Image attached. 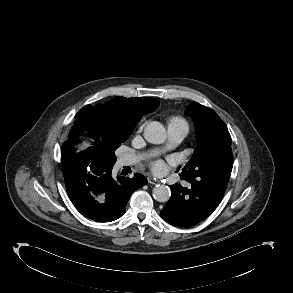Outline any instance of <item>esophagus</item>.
Returning a JSON list of instances; mask_svg holds the SVG:
<instances>
[{"mask_svg": "<svg viewBox=\"0 0 293 293\" xmlns=\"http://www.w3.org/2000/svg\"><path fill=\"white\" fill-rule=\"evenodd\" d=\"M148 183L153 184V185H157V184H160L161 181L159 179H156V178H153V177H148Z\"/></svg>", "mask_w": 293, "mask_h": 293, "instance_id": "esophagus-1", "label": "esophagus"}]
</instances>
